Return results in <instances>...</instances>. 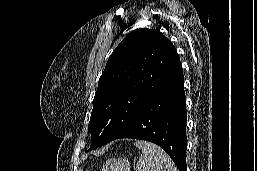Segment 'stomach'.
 <instances>
[{
	"mask_svg": "<svg viewBox=\"0 0 257 171\" xmlns=\"http://www.w3.org/2000/svg\"><path fill=\"white\" fill-rule=\"evenodd\" d=\"M102 171H130V162L126 158H111L105 162Z\"/></svg>",
	"mask_w": 257,
	"mask_h": 171,
	"instance_id": "obj_1",
	"label": "stomach"
}]
</instances>
